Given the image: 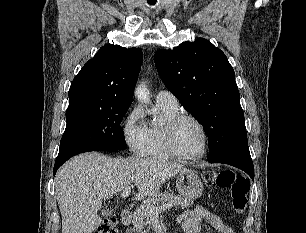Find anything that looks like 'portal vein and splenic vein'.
I'll return each mask as SVG.
<instances>
[{"label":"portal vein and splenic vein","mask_w":306,"mask_h":233,"mask_svg":"<svg viewBox=\"0 0 306 233\" xmlns=\"http://www.w3.org/2000/svg\"><path fill=\"white\" fill-rule=\"evenodd\" d=\"M131 192V187L128 186L126 188H124L123 192L121 193V197H127ZM172 204L167 203V204H163L161 206H152V205H146L144 206L145 210L147 213H149L152 216H157L159 214L160 211L162 210H169L172 208Z\"/></svg>","instance_id":"18ae733b"}]
</instances>
